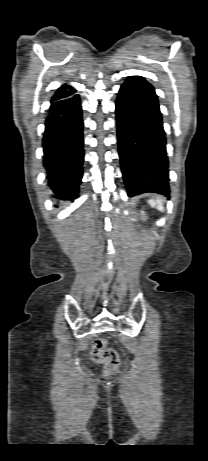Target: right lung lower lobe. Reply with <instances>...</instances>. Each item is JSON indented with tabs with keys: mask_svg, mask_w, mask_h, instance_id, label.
Segmentation results:
<instances>
[{
	"mask_svg": "<svg viewBox=\"0 0 208 461\" xmlns=\"http://www.w3.org/2000/svg\"><path fill=\"white\" fill-rule=\"evenodd\" d=\"M83 120L78 94L52 101L45 122L43 163L56 198L77 196L82 178Z\"/></svg>",
	"mask_w": 208,
	"mask_h": 461,
	"instance_id": "right-lung-lower-lobe-1",
	"label": "right lung lower lobe"
}]
</instances>
